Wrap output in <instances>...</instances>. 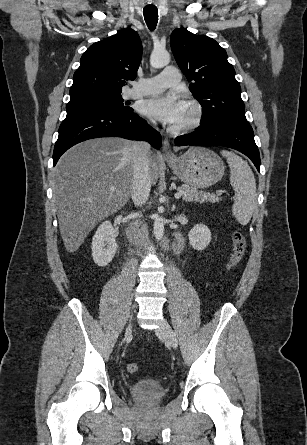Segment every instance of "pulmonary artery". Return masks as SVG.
I'll return each mask as SVG.
<instances>
[{"label": "pulmonary artery", "mask_w": 307, "mask_h": 445, "mask_svg": "<svg viewBox=\"0 0 307 445\" xmlns=\"http://www.w3.org/2000/svg\"><path fill=\"white\" fill-rule=\"evenodd\" d=\"M145 80L138 81L137 88L130 87L128 94L139 96L158 93L175 83H179L181 80L180 71L176 67L169 66L161 71L148 73Z\"/></svg>", "instance_id": "e3ab8cb5"}]
</instances>
